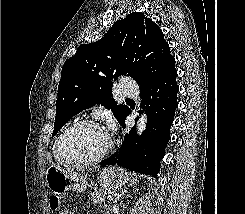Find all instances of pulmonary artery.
Listing matches in <instances>:
<instances>
[{
	"label": "pulmonary artery",
	"mask_w": 245,
	"mask_h": 214,
	"mask_svg": "<svg viewBox=\"0 0 245 214\" xmlns=\"http://www.w3.org/2000/svg\"><path fill=\"white\" fill-rule=\"evenodd\" d=\"M122 93L128 97H137L139 94V85L137 82L124 79L120 82Z\"/></svg>",
	"instance_id": "1"
}]
</instances>
